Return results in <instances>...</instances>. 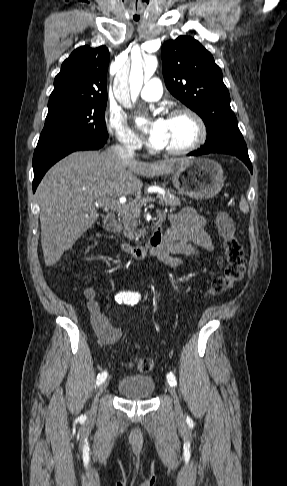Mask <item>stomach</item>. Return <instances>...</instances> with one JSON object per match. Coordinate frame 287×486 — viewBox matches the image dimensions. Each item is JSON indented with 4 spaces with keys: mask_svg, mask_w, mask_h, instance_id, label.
Here are the masks:
<instances>
[{
    "mask_svg": "<svg viewBox=\"0 0 287 486\" xmlns=\"http://www.w3.org/2000/svg\"><path fill=\"white\" fill-rule=\"evenodd\" d=\"M171 180L179 193L195 199H209L224 186L223 169L208 158H191L171 173Z\"/></svg>",
    "mask_w": 287,
    "mask_h": 486,
    "instance_id": "obj_1",
    "label": "stomach"
}]
</instances>
